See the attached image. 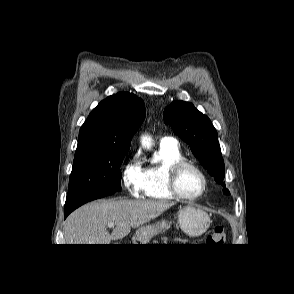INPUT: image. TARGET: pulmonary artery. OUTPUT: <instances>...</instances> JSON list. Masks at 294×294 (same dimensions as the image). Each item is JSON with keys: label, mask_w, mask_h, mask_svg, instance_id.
<instances>
[{"label": "pulmonary artery", "mask_w": 294, "mask_h": 294, "mask_svg": "<svg viewBox=\"0 0 294 294\" xmlns=\"http://www.w3.org/2000/svg\"><path fill=\"white\" fill-rule=\"evenodd\" d=\"M160 145L177 146V141L173 137H164V138L161 139Z\"/></svg>", "instance_id": "pulmonary-artery-1"}]
</instances>
